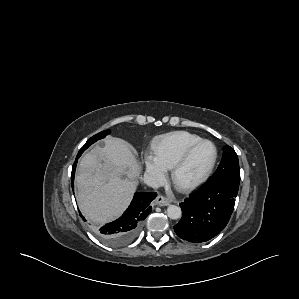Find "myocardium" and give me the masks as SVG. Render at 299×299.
I'll return each mask as SVG.
<instances>
[{
	"label": "myocardium",
	"instance_id": "myocardium-1",
	"mask_svg": "<svg viewBox=\"0 0 299 299\" xmlns=\"http://www.w3.org/2000/svg\"><path fill=\"white\" fill-rule=\"evenodd\" d=\"M203 144H210V145H212V147L214 149V156H213V160H212L210 166L200 177L196 178L195 180L190 181V182H181L179 179L180 173L185 168V166L188 164V162L191 159L194 152ZM217 159H218V150H217L216 145L210 140H206V139L200 140L196 144L192 145L184 153V155L180 158V160L175 164V166L172 168L171 180H172L173 185L179 191H182V192H188V191L196 189L197 187L202 185L204 182H206L208 180V178L211 176V174L216 166Z\"/></svg>",
	"mask_w": 299,
	"mask_h": 299
}]
</instances>
